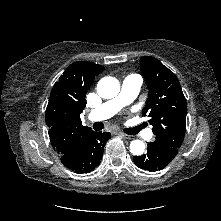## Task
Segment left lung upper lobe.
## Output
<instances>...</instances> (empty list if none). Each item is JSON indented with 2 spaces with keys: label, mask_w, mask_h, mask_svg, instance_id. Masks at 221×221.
<instances>
[{
  "label": "left lung upper lobe",
  "mask_w": 221,
  "mask_h": 221,
  "mask_svg": "<svg viewBox=\"0 0 221 221\" xmlns=\"http://www.w3.org/2000/svg\"><path fill=\"white\" fill-rule=\"evenodd\" d=\"M141 70L149 89L142 114L150 117L155 141L180 148L186 130L187 105L179 80L151 56L141 58Z\"/></svg>",
  "instance_id": "left-lung-upper-lobe-1"
}]
</instances>
